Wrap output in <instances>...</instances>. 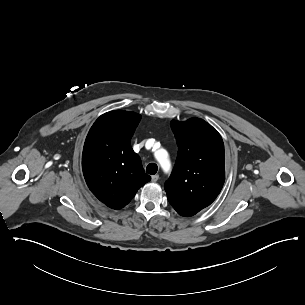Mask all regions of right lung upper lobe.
Masks as SVG:
<instances>
[{
	"mask_svg": "<svg viewBox=\"0 0 305 305\" xmlns=\"http://www.w3.org/2000/svg\"><path fill=\"white\" fill-rule=\"evenodd\" d=\"M140 119L134 112H107L95 121L85 140L82 169L86 183L101 202L113 209L126 206L151 179L131 148Z\"/></svg>",
	"mask_w": 305,
	"mask_h": 305,
	"instance_id": "cb5924a9",
	"label": "right lung upper lobe"
}]
</instances>
